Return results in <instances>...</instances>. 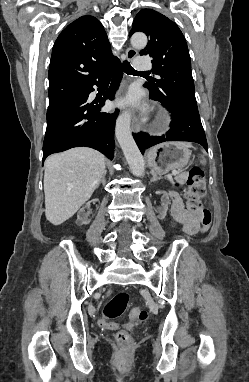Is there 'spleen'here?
Here are the masks:
<instances>
[{"instance_id": "3e777b00", "label": "spleen", "mask_w": 249, "mask_h": 382, "mask_svg": "<svg viewBox=\"0 0 249 382\" xmlns=\"http://www.w3.org/2000/svg\"><path fill=\"white\" fill-rule=\"evenodd\" d=\"M201 163H202V164H205V163H206V161H205L204 158L201 160Z\"/></svg>"}]
</instances>
